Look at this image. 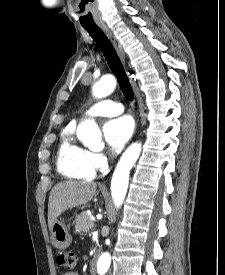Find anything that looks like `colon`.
Here are the masks:
<instances>
[{
    "instance_id": "colon-1",
    "label": "colon",
    "mask_w": 225,
    "mask_h": 275,
    "mask_svg": "<svg viewBox=\"0 0 225 275\" xmlns=\"http://www.w3.org/2000/svg\"><path fill=\"white\" fill-rule=\"evenodd\" d=\"M57 263L59 266L71 270L76 265V255L72 252L61 253L57 257Z\"/></svg>"
}]
</instances>
